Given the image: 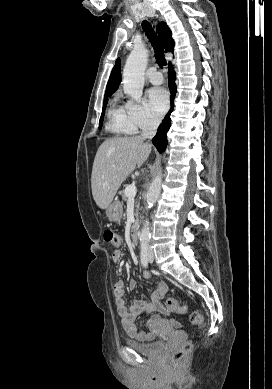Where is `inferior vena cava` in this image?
Masks as SVG:
<instances>
[{
    "mask_svg": "<svg viewBox=\"0 0 272 389\" xmlns=\"http://www.w3.org/2000/svg\"><path fill=\"white\" fill-rule=\"evenodd\" d=\"M160 124V121L155 118H150L146 121L142 128V137L151 139L156 134L157 128Z\"/></svg>",
    "mask_w": 272,
    "mask_h": 389,
    "instance_id": "obj_1",
    "label": "inferior vena cava"
}]
</instances>
